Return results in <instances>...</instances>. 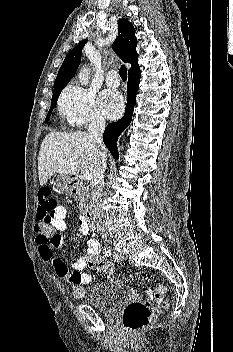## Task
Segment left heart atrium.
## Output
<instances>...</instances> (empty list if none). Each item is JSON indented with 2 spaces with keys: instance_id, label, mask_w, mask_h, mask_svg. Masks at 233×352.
<instances>
[{
  "instance_id": "left-heart-atrium-1",
  "label": "left heart atrium",
  "mask_w": 233,
  "mask_h": 352,
  "mask_svg": "<svg viewBox=\"0 0 233 352\" xmlns=\"http://www.w3.org/2000/svg\"><path fill=\"white\" fill-rule=\"evenodd\" d=\"M103 113L110 119L118 117L124 107L122 95L115 90H105L99 98Z\"/></svg>"
}]
</instances>
